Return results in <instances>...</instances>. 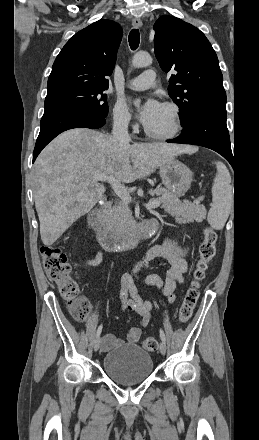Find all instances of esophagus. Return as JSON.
I'll use <instances>...</instances> for the list:
<instances>
[{
  "label": "esophagus",
  "mask_w": 259,
  "mask_h": 440,
  "mask_svg": "<svg viewBox=\"0 0 259 440\" xmlns=\"http://www.w3.org/2000/svg\"><path fill=\"white\" fill-rule=\"evenodd\" d=\"M132 25L134 28H141L142 27V21L139 18H133Z\"/></svg>",
  "instance_id": "esophagus-1"
}]
</instances>
